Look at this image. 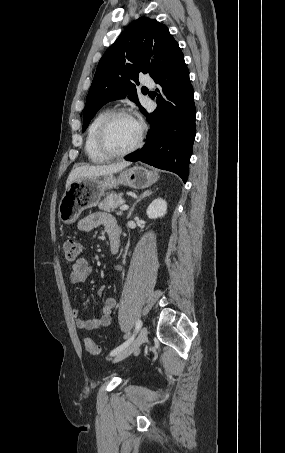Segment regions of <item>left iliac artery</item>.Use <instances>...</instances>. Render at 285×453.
<instances>
[{
	"instance_id": "obj_1",
	"label": "left iliac artery",
	"mask_w": 285,
	"mask_h": 453,
	"mask_svg": "<svg viewBox=\"0 0 285 453\" xmlns=\"http://www.w3.org/2000/svg\"><path fill=\"white\" fill-rule=\"evenodd\" d=\"M142 327V321L141 320H138L136 322V326H135V333L133 334V336H131L128 340H126L123 344H121L120 346H118L117 348H115L114 350H112L110 352V356H115L117 355L118 353H120L121 351H123L126 347H128L131 342L134 340V337L135 335L138 333V331L140 330V328Z\"/></svg>"
}]
</instances>
